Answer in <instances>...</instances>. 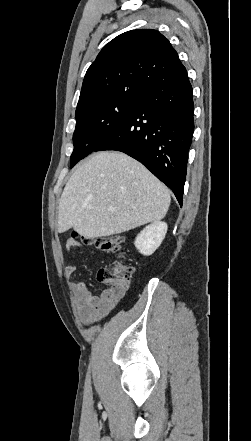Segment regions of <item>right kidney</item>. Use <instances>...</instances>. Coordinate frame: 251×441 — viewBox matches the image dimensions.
I'll use <instances>...</instances> for the list:
<instances>
[{"label":"right kidney","instance_id":"ca27d5eb","mask_svg":"<svg viewBox=\"0 0 251 441\" xmlns=\"http://www.w3.org/2000/svg\"><path fill=\"white\" fill-rule=\"evenodd\" d=\"M167 224L165 222L156 221L146 226L135 239V247L145 255H152L160 246L167 232Z\"/></svg>","mask_w":251,"mask_h":441}]
</instances>
